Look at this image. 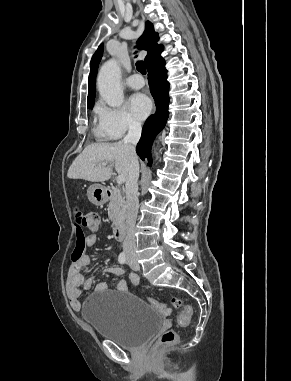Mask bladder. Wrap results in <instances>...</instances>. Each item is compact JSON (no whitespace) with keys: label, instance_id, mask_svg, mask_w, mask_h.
<instances>
[{"label":"bladder","instance_id":"1","mask_svg":"<svg viewBox=\"0 0 291 381\" xmlns=\"http://www.w3.org/2000/svg\"><path fill=\"white\" fill-rule=\"evenodd\" d=\"M81 315L99 337L131 350L150 341L164 323L163 317L150 303L126 291H119L114 296L91 295Z\"/></svg>","mask_w":291,"mask_h":381}]
</instances>
